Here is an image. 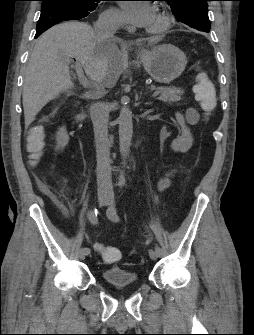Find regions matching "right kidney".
Instances as JSON below:
<instances>
[{"mask_svg": "<svg viewBox=\"0 0 254 335\" xmlns=\"http://www.w3.org/2000/svg\"><path fill=\"white\" fill-rule=\"evenodd\" d=\"M56 141H57V145H56V150H62L65 148V146L68 145L69 142V136L67 134L66 128L65 127H61L59 128V130L56 133Z\"/></svg>", "mask_w": 254, "mask_h": 335, "instance_id": "1", "label": "right kidney"}]
</instances>
